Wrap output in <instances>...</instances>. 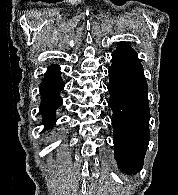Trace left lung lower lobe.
Here are the masks:
<instances>
[{"instance_id":"left-lung-lower-lobe-1","label":"left lung lower lobe","mask_w":178,"mask_h":195,"mask_svg":"<svg viewBox=\"0 0 178 195\" xmlns=\"http://www.w3.org/2000/svg\"><path fill=\"white\" fill-rule=\"evenodd\" d=\"M109 106L113 111L115 159L122 172L143 166L150 138L147 83L137 55L114 51L109 69Z\"/></svg>"}]
</instances>
